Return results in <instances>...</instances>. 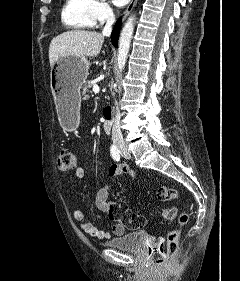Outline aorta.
Instances as JSON below:
<instances>
[{
  "mask_svg": "<svg viewBox=\"0 0 240 281\" xmlns=\"http://www.w3.org/2000/svg\"><path fill=\"white\" fill-rule=\"evenodd\" d=\"M135 16H130L122 28L118 43V68L122 71L125 67L127 56L130 49L131 38L134 31Z\"/></svg>",
  "mask_w": 240,
  "mask_h": 281,
  "instance_id": "762f6f07",
  "label": "aorta"
}]
</instances>
